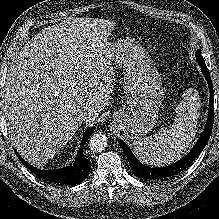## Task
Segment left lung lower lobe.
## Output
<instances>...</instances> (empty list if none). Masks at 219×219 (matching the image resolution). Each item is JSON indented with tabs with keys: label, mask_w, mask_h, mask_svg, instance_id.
I'll list each match as a JSON object with an SVG mask.
<instances>
[{
	"label": "left lung lower lobe",
	"mask_w": 219,
	"mask_h": 219,
	"mask_svg": "<svg viewBox=\"0 0 219 219\" xmlns=\"http://www.w3.org/2000/svg\"><path fill=\"white\" fill-rule=\"evenodd\" d=\"M201 70L208 82L209 90H210V102H209V113L206 127L203 131L201 138L198 140L196 145L192 148V150L180 161L172 164L170 166L162 167V168H150L143 164H141L132 154L129 147L120 139H118L119 144L121 145L124 153L126 154L131 169L135 176L146 179V180H162L173 177L179 173H181L184 169H186L195 158L202 152L205 145L207 144L209 137L212 132L213 122H214V92L213 85L211 81L210 74L206 67L205 62L197 61Z\"/></svg>",
	"instance_id": "0a47b994"
}]
</instances>
